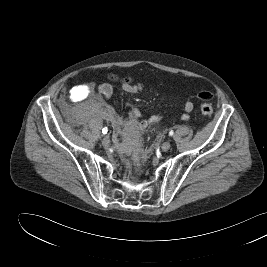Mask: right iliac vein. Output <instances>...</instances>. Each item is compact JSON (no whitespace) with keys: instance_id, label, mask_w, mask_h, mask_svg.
<instances>
[{"instance_id":"1","label":"right iliac vein","mask_w":267,"mask_h":267,"mask_svg":"<svg viewBox=\"0 0 267 267\" xmlns=\"http://www.w3.org/2000/svg\"><path fill=\"white\" fill-rule=\"evenodd\" d=\"M102 144L104 147H108L110 144V139L108 135H105L102 139Z\"/></svg>"}]
</instances>
